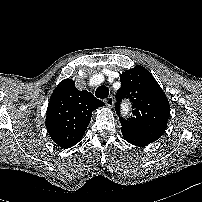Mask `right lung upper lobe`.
<instances>
[{"label": "right lung upper lobe", "mask_w": 202, "mask_h": 202, "mask_svg": "<svg viewBox=\"0 0 202 202\" xmlns=\"http://www.w3.org/2000/svg\"><path fill=\"white\" fill-rule=\"evenodd\" d=\"M104 103L86 90L79 91L72 79L61 81L51 95L46 128L52 140L61 148L77 144L83 137L92 111Z\"/></svg>", "instance_id": "1"}]
</instances>
